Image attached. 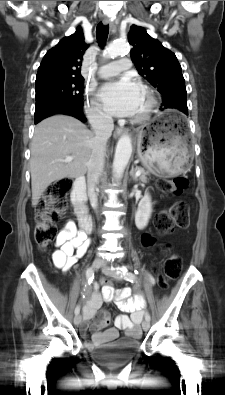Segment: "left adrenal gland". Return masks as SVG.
<instances>
[{"mask_svg":"<svg viewBox=\"0 0 225 395\" xmlns=\"http://www.w3.org/2000/svg\"><path fill=\"white\" fill-rule=\"evenodd\" d=\"M130 176L132 177V179L136 182L138 181L137 176L135 175V168L134 165H132L131 171H130Z\"/></svg>","mask_w":225,"mask_h":395,"instance_id":"a2214340","label":"left adrenal gland"}]
</instances>
